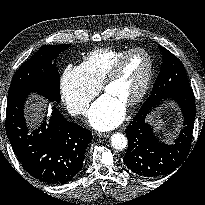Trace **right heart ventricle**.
I'll return each instance as SVG.
<instances>
[{"label":"right heart ventricle","mask_w":205,"mask_h":205,"mask_svg":"<svg viewBox=\"0 0 205 205\" xmlns=\"http://www.w3.org/2000/svg\"><path fill=\"white\" fill-rule=\"evenodd\" d=\"M131 49H97L90 52L80 67L92 84L99 86L113 64Z\"/></svg>","instance_id":"right-heart-ventricle-1"}]
</instances>
